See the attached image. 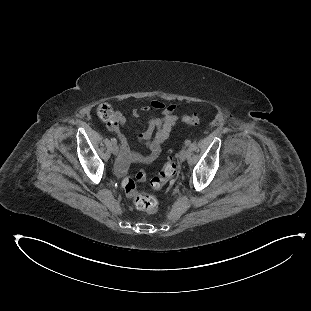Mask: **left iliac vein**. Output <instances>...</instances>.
<instances>
[{
  "label": "left iliac vein",
  "mask_w": 311,
  "mask_h": 311,
  "mask_svg": "<svg viewBox=\"0 0 311 311\" xmlns=\"http://www.w3.org/2000/svg\"><path fill=\"white\" fill-rule=\"evenodd\" d=\"M187 158V150L186 149H182L179 153V160L181 162H184Z\"/></svg>",
  "instance_id": "4c4485c4"
}]
</instances>
